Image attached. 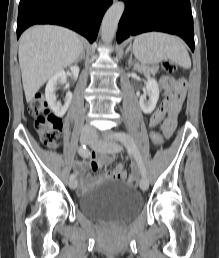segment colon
I'll use <instances>...</instances> for the list:
<instances>
[{
	"label": "colon",
	"mask_w": 219,
	"mask_h": 258,
	"mask_svg": "<svg viewBox=\"0 0 219 258\" xmlns=\"http://www.w3.org/2000/svg\"><path fill=\"white\" fill-rule=\"evenodd\" d=\"M162 67L167 73H174L177 70V65L170 60L164 61ZM29 113L34 121L36 132L41 141L49 148L56 147L62 130V121L50 111L43 96L36 95L32 99L29 105ZM150 137L155 147L159 148L162 146L163 136L159 130L153 129L150 133ZM136 182V176L130 175L128 183L134 186Z\"/></svg>",
	"instance_id": "5ec220e1"
}]
</instances>
